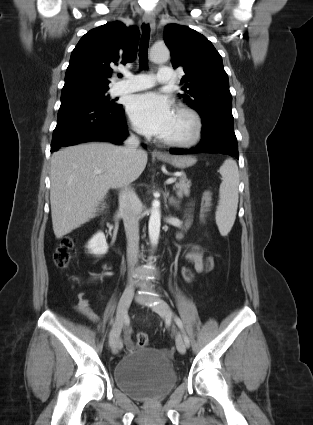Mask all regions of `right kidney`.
Instances as JSON below:
<instances>
[{"mask_svg":"<svg viewBox=\"0 0 313 425\" xmlns=\"http://www.w3.org/2000/svg\"><path fill=\"white\" fill-rule=\"evenodd\" d=\"M87 248L92 254L103 255L108 251V245L103 232L96 233L88 242Z\"/></svg>","mask_w":313,"mask_h":425,"instance_id":"obj_1","label":"right kidney"}]
</instances>
